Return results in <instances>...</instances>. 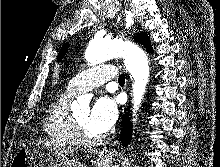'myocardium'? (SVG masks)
<instances>
[{
    "label": "myocardium",
    "mask_w": 220,
    "mask_h": 167,
    "mask_svg": "<svg viewBox=\"0 0 220 167\" xmlns=\"http://www.w3.org/2000/svg\"><path fill=\"white\" fill-rule=\"evenodd\" d=\"M71 124H72L73 136L76 143L84 146H91V145L99 144L100 142L103 141V137L100 135L94 137L88 136L84 132L81 124L79 123L74 113L71 114Z\"/></svg>",
    "instance_id": "obj_1"
}]
</instances>
